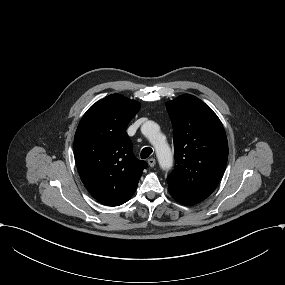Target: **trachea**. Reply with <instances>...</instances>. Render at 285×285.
<instances>
[{
    "label": "trachea",
    "mask_w": 285,
    "mask_h": 285,
    "mask_svg": "<svg viewBox=\"0 0 285 285\" xmlns=\"http://www.w3.org/2000/svg\"><path fill=\"white\" fill-rule=\"evenodd\" d=\"M152 153V149L150 147H145L142 151H141V158L142 159H146L148 158Z\"/></svg>",
    "instance_id": "1"
}]
</instances>
